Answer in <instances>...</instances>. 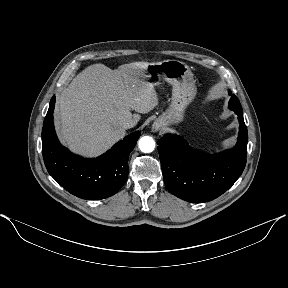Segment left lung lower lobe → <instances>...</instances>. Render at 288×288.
Returning <instances> with one entry per match:
<instances>
[{
    "label": "left lung lower lobe",
    "instance_id": "obj_1",
    "mask_svg": "<svg viewBox=\"0 0 288 288\" xmlns=\"http://www.w3.org/2000/svg\"><path fill=\"white\" fill-rule=\"evenodd\" d=\"M240 122L236 146L216 156H203L178 135L158 140L165 185L173 195L192 203L211 201L227 191L240 177L247 155V127L243 113L234 111Z\"/></svg>",
    "mask_w": 288,
    "mask_h": 288
}]
</instances>
